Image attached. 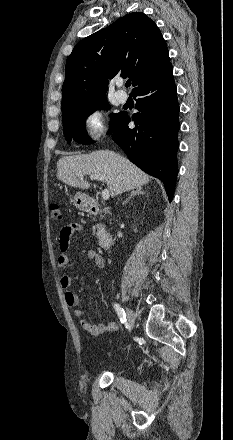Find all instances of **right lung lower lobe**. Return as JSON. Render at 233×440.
<instances>
[{"label":"right lung lower lobe","mask_w":233,"mask_h":440,"mask_svg":"<svg viewBox=\"0 0 233 440\" xmlns=\"http://www.w3.org/2000/svg\"><path fill=\"white\" fill-rule=\"evenodd\" d=\"M132 118L124 113L112 137L131 162L164 182L169 201L176 185L179 105L172 65L159 76L138 86ZM134 121L135 128L128 127Z\"/></svg>","instance_id":"98d812e1"}]
</instances>
